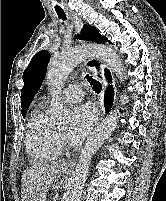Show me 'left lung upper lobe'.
<instances>
[{
    "label": "left lung upper lobe",
    "mask_w": 166,
    "mask_h": 201,
    "mask_svg": "<svg viewBox=\"0 0 166 201\" xmlns=\"http://www.w3.org/2000/svg\"><path fill=\"white\" fill-rule=\"evenodd\" d=\"M77 38L95 41L97 43H105L108 41L105 36L100 35L96 28L89 25H84L81 35H78ZM49 58L50 55L45 50L36 53L23 73L24 86L21 90V107L23 117H25L33 96L41 85V80L46 73V66Z\"/></svg>",
    "instance_id": "5c2ea615"
}]
</instances>
